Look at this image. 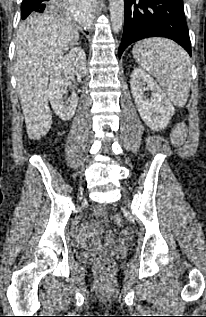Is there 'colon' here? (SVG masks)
I'll return each instance as SVG.
<instances>
[{"instance_id":"colon-1","label":"colon","mask_w":206,"mask_h":317,"mask_svg":"<svg viewBox=\"0 0 206 317\" xmlns=\"http://www.w3.org/2000/svg\"><path fill=\"white\" fill-rule=\"evenodd\" d=\"M185 137H186L185 126L183 124H178L177 126H175V128L172 131V135H171L173 144L176 146L183 144L185 141ZM94 211L98 216H106L108 213L107 208L104 206H101V205L96 206ZM109 220L117 226L122 227L124 225L123 219L118 215L111 216L109 218ZM95 265H96V268L102 272H107V271L111 270L113 267L112 261L106 257L98 258L96 260Z\"/></svg>"}]
</instances>
